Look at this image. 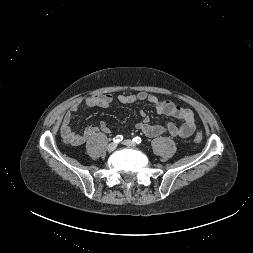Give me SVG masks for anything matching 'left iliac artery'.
Returning <instances> with one entry per match:
<instances>
[{
    "instance_id": "left-iliac-artery-1",
    "label": "left iliac artery",
    "mask_w": 253,
    "mask_h": 253,
    "mask_svg": "<svg viewBox=\"0 0 253 253\" xmlns=\"http://www.w3.org/2000/svg\"><path fill=\"white\" fill-rule=\"evenodd\" d=\"M133 142L136 144H140L142 142V139H141V137L136 136L135 138H133Z\"/></svg>"
}]
</instances>
